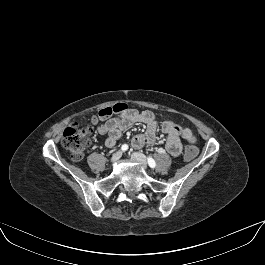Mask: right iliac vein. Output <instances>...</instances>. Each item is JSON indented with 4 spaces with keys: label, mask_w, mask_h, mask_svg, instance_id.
I'll use <instances>...</instances> for the list:
<instances>
[{
    "label": "right iliac vein",
    "mask_w": 265,
    "mask_h": 265,
    "mask_svg": "<svg viewBox=\"0 0 265 265\" xmlns=\"http://www.w3.org/2000/svg\"><path fill=\"white\" fill-rule=\"evenodd\" d=\"M122 156V152L118 151L116 153H114L111 157V162L114 163V162H117Z\"/></svg>",
    "instance_id": "obj_1"
}]
</instances>
